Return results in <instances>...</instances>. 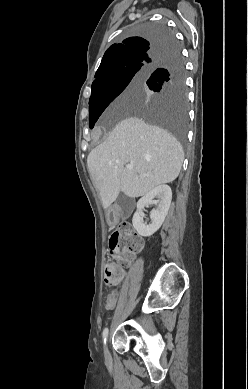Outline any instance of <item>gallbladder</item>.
<instances>
[{
  "instance_id": "obj_1",
  "label": "gallbladder",
  "mask_w": 248,
  "mask_h": 389,
  "mask_svg": "<svg viewBox=\"0 0 248 389\" xmlns=\"http://www.w3.org/2000/svg\"><path fill=\"white\" fill-rule=\"evenodd\" d=\"M116 203L122 207V209L127 212L131 207V199H129L125 194L121 193L116 199Z\"/></svg>"
}]
</instances>
